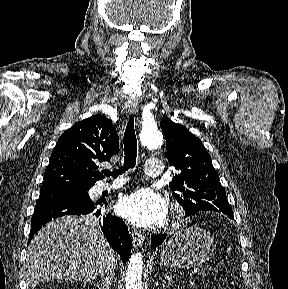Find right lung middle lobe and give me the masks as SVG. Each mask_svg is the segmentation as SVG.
Returning <instances> with one entry per match:
<instances>
[{
    "label": "right lung middle lobe",
    "instance_id": "right-lung-middle-lobe-1",
    "mask_svg": "<svg viewBox=\"0 0 288 289\" xmlns=\"http://www.w3.org/2000/svg\"><path fill=\"white\" fill-rule=\"evenodd\" d=\"M86 188L42 189L37 203L45 201H73L82 204H93Z\"/></svg>",
    "mask_w": 288,
    "mask_h": 289
}]
</instances>
